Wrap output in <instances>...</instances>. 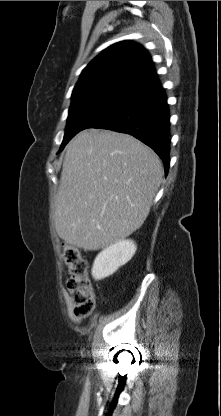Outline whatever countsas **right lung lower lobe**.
Returning a JSON list of instances; mask_svg holds the SVG:
<instances>
[{
    "label": "right lung lower lobe",
    "instance_id": "98d812e1",
    "mask_svg": "<svg viewBox=\"0 0 221 416\" xmlns=\"http://www.w3.org/2000/svg\"><path fill=\"white\" fill-rule=\"evenodd\" d=\"M169 119L166 95L162 86L157 84L126 96L93 128L136 137L158 154L167 175L170 164Z\"/></svg>",
    "mask_w": 221,
    "mask_h": 416
}]
</instances>
